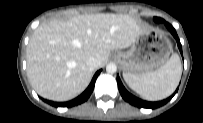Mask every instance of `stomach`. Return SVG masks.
I'll return each instance as SVG.
<instances>
[{
  "label": "stomach",
  "instance_id": "0dacf381",
  "mask_svg": "<svg viewBox=\"0 0 203 123\" xmlns=\"http://www.w3.org/2000/svg\"><path fill=\"white\" fill-rule=\"evenodd\" d=\"M171 52L170 40L163 33L148 29L134 40L128 51L117 52L114 58L124 73L140 74L163 66Z\"/></svg>",
  "mask_w": 203,
  "mask_h": 123
}]
</instances>
